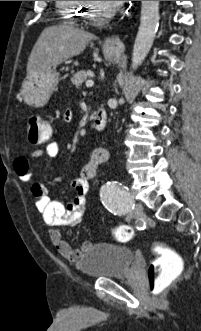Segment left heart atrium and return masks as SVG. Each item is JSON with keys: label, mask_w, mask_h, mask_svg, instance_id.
<instances>
[{"label": "left heart atrium", "mask_w": 201, "mask_h": 331, "mask_svg": "<svg viewBox=\"0 0 201 331\" xmlns=\"http://www.w3.org/2000/svg\"><path fill=\"white\" fill-rule=\"evenodd\" d=\"M103 3H107L110 7H117L123 4L125 1H102Z\"/></svg>", "instance_id": "obj_1"}]
</instances>
